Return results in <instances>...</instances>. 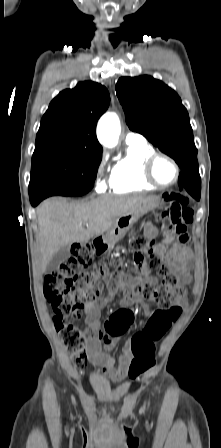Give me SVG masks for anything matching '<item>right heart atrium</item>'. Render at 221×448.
Here are the masks:
<instances>
[{
    "instance_id": "right-heart-atrium-1",
    "label": "right heart atrium",
    "mask_w": 221,
    "mask_h": 448,
    "mask_svg": "<svg viewBox=\"0 0 221 448\" xmlns=\"http://www.w3.org/2000/svg\"><path fill=\"white\" fill-rule=\"evenodd\" d=\"M106 161H107L106 157H102L97 168L96 187L99 191H103L107 187V179L104 174Z\"/></svg>"
}]
</instances>
